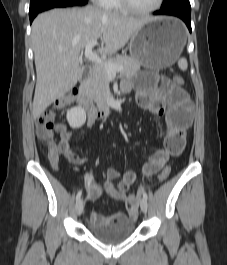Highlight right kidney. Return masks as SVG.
I'll list each match as a JSON object with an SVG mask.
<instances>
[{
	"label": "right kidney",
	"instance_id": "right-kidney-1",
	"mask_svg": "<svg viewBox=\"0 0 227 265\" xmlns=\"http://www.w3.org/2000/svg\"><path fill=\"white\" fill-rule=\"evenodd\" d=\"M67 121L73 129L82 127L86 121L85 110L81 106L71 108L67 111Z\"/></svg>",
	"mask_w": 227,
	"mask_h": 265
}]
</instances>
